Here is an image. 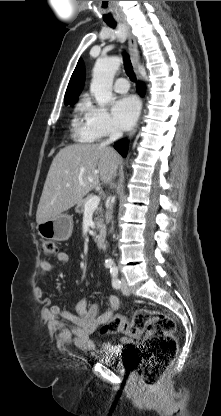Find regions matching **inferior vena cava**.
Returning <instances> with one entry per match:
<instances>
[{
  "instance_id": "1",
  "label": "inferior vena cava",
  "mask_w": 221,
  "mask_h": 416,
  "mask_svg": "<svg viewBox=\"0 0 221 416\" xmlns=\"http://www.w3.org/2000/svg\"><path fill=\"white\" fill-rule=\"evenodd\" d=\"M122 136V132L119 129L113 128L110 132V136L107 140L103 141L101 143L102 147H108V145L112 144L113 142H115L118 138H120ZM110 148V147H108ZM112 149V148H110Z\"/></svg>"
}]
</instances>
